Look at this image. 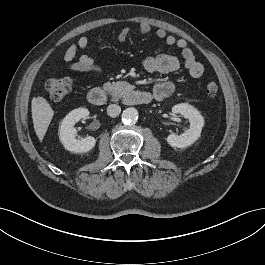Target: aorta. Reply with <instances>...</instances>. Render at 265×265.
Wrapping results in <instances>:
<instances>
[{"mask_svg": "<svg viewBox=\"0 0 265 265\" xmlns=\"http://www.w3.org/2000/svg\"><path fill=\"white\" fill-rule=\"evenodd\" d=\"M138 115L139 113L136 108L129 107L123 111L122 118L124 122L133 124L137 121Z\"/></svg>", "mask_w": 265, "mask_h": 265, "instance_id": "1", "label": "aorta"}]
</instances>
